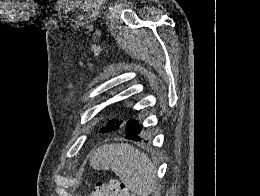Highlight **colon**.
<instances>
[{"instance_id":"colon-1","label":"colon","mask_w":260,"mask_h":196,"mask_svg":"<svg viewBox=\"0 0 260 196\" xmlns=\"http://www.w3.org/2000/svg\"><path fill=\"white\" fill-rule=\"evenodd\" d=\"M113 194H114V196H116V195H117V194H116V193H114V192H113Z\"/></svg>"}]
</instances>
